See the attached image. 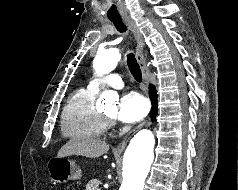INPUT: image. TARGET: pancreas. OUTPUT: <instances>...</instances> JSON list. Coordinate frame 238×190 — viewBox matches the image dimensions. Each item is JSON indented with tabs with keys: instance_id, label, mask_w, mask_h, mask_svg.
<instances>
[{
	"instance_id": "obj_1",
	"label": "pancreas",
	"mask_w": 238,
	"mask_h": 190,
	"mask_svg": "<svg viewBox=\"0 0 238 190\" xmlns=\"http://www.w3.org/2000/svg\"><path fill=\"white\" fill-rule=\"evenodd\" d=\"M85 190H100L99 181L97 179H92L87 183Z\"/></svg>"
}]
</instances>
